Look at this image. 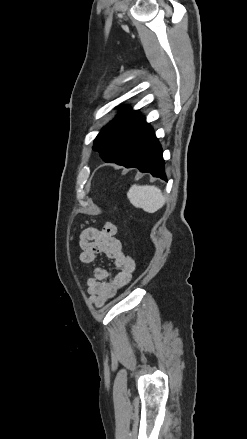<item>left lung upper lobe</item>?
Masks as SVG:
<instances>
[{
  "label": "left lung upper lobe",
  "instance_id": "obj_1",
  "mask_svg": "<svg viewBox=\"0 0 247 439\" xmlns=\"http://www.w3.org/2000/svg\"><path fill=\"white\" fill-rule=\"evenodd\" d=\"M147 123L138 111L126 109L96 137L93 149L105 162L122 165L136 137Z\"/></svg>",
  "mask_w": 247,
  "mask_h": 439
}]
</instances>
